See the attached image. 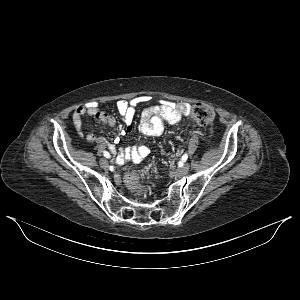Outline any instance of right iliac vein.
<instances>
[{"instance_id": "obj_1", "label": "right iliac vein", "mask_w": 300, "mask_h": 300, "mask_svg": "<svg viewBox=\"0 0 300 300\" xmlns=\"http://www.w3.org/2000/svg\"><path fill=\"white\" fill-rule=\"evenodd\" d=\"M100 165H101V167H103V168H108L109 163H108V161H107L105 158H101V159H100Z\"/></svg>"}]
</instances>
